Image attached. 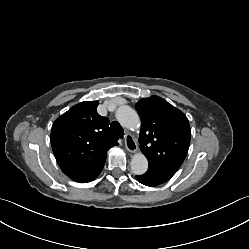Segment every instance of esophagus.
Instances as JSON below:
<instances>
[{"instance_id":"34e87169","label":"esophagus","mask_w":249,"mask_h":249,"mask_svg":"<svg viewBox=\"0 0 249 249\" xmlns=\"http://www.w3.org/2000/svg\"><path fill=\"white\" fill-rule=\"evenodd\" d=\"M125 147L129 152H132V153L136 152L137 150V144L133 136L130 134H126L125 136Z\"/></svg>"}]
</instances>
